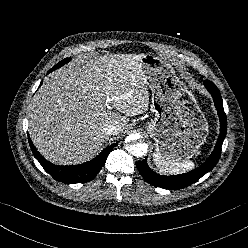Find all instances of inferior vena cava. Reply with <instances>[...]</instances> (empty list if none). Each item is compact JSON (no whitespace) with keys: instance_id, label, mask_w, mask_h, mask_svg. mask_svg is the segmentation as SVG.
<instances>
[{"instance_id":"1","label":"inferior vena cava","mask_w":248,"mask_h":248,"mask_svg":"<svg viewBox=\"0 0 248 248\" xmlns=\"http://www.w3.org/2000/svg\"><path fill=\"white\" fill-rule=\"evenodd\" d=\"M102 130L108 135H116L118 133V127L114 124H105L102 126Z\"/></svg>"}]
</instances>
